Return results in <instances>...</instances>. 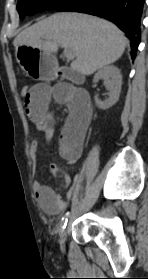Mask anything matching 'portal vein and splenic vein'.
<instances>
[{
  "label": "portal vein and splenic vein",
  "mask_w": 148,
  "mask_h": 279,
  "mask_svg": "<svg viewBox=\"0 0 148 279\" xmlns=\"http://www.w3.org/2000/svg\"><path fill=\"white\" fill-rule=\"evenodd\" d=\"M63 54L68 61L74 59V53L71 49L65 48Z\"/></svg>",
  "instance_id": "1"
}]
</instances>
